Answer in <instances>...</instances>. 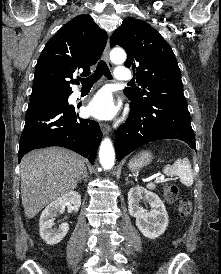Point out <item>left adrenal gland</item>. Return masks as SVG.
Instances as JSON below:
<instances>
[{
	"label": "left adrenal gland",
	"mask_w": 221,
	"mask_h": 274,
	"mask_svg": "<svg viewBox=\"0 0 221 274\" xmlns=\"http://www.w3.org/2000/svg\"><path fill=\"white\" fill-rule=\"evenodd\" d=\"M125 180H126V184L130 182L128 177H126Z\"/></svg>",
	"instance_id": "a2214340"
}]
</instances>
